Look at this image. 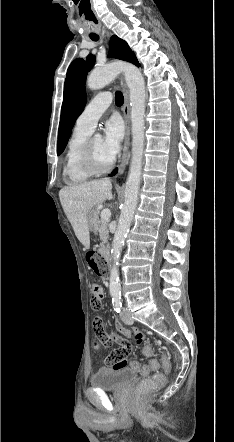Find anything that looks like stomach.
Listing matches in <instances>:
<instances>
[{"instance_id": "0dacf381", "label": "stomach", "mask_w": 234, "mask_h": 442, "mask_svg": "<svg viewBox=\"0 0 234 442\" xmlns=\"http://www.w3.org/2000/svg\"><path fill=\"white\" fill-rule=\"evenodd\" d=\"M87 225L90 231L95 232L97 230V214L94 209L88 214Z\"/></svg>"}]
</instances>
